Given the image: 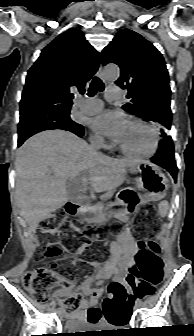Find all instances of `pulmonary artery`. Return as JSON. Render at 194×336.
Masks as SVG:
<instances>
[{
  "mask_svg": "<svg viewBox=\"0 0 194 336\" xmlns=\"http://www.w3.org/2000/svg\"><path fill=\"white\" fill-rule=\"evenodd\" d=\"M119 89L117 87H109L106 90L105 98L114 100L119 98ZM78 110L82 114L92 115L98 113L103 108V102L100 99H78Z\"/></svg>",
  "mask_w": 194,
  "mask_h": 336,
  "instance_id": "pulmonary-artery-1",
  "label": "pulmonary artery"
}]
</instances>
